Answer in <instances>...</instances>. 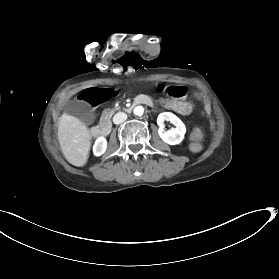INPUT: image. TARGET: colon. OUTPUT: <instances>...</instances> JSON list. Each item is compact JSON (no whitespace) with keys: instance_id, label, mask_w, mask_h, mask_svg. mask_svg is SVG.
<instances>
[{"instance_id":"colon-1","label":"colon","mask_w":279,"mask_h":279,"mask_svg":"<svg viewBox=\"0 0 279 279\" xmlns=\"http://www.w3.org/2000/svg\"><path fill=\"white\" fill-rule=\"evenodd\" d=\"M192 136L195 140H199L202 137V133L199 129H195L192 133Z\"/></svg>"}]
</instances>
